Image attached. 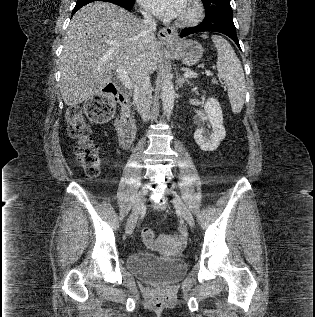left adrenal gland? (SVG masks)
Segmentation results:
<instances>
[{
	"mask_svg": "<svg viewBox=\"0 0 315 317\" xmlns=\"http://www.w3.org/2000/svg\"><path fill=\"white\" fill-rule=\"evenodd\" d=\"M176 75H177V84H178L179 87H182L183 84H185V83L188 84V85H191V82L188 79L182 77L178 73Z\"/></svg>",
	"mask_w": 315,
	"mask_h": 317,
	"instance_id": "left-adrenal-gland-1",
	"label": "left adrenal gland"
}]
</instances>
